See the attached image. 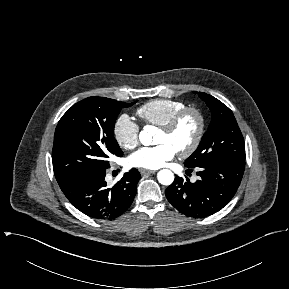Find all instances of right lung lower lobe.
I'll use <instances>...</instances> for the list:
<instances>
[{
    "label": "right lung lower lobe",
    "mask_w": 289,
    "mask_h": 289,
    "mask_svg": "<svg viewBox=\"0 0 289 289\" xmlns=\"http://www.w3.org/2000/svg\"><path fill=\"white\" fill-rule=\"evenodd\" d=\"M105 176L106 169L83 175L61 190L70 203L85 215L96 219H115L132 204L141 175L133 168L112 187L107 186Z\"/></svg>",
    "instance_id": "1"
}]
</instances>
